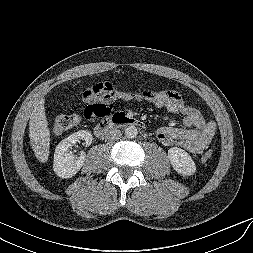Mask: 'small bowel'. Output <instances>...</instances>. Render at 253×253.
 I'll return each instance as SVG.
<instances>
[{
	"label": "small bowel",
	"mask_w": 253,
	"mask_h": 253,
	"mask_svg": "<svg viewBox=\"0 0 253 253\" xmlns=\"http://www.w3.org/2000/svg\"><path fill=\"white\" fill-rule=\"evenodd\" d=\"M111 94L114 99L131 100L132 92L114 86L110 82L98 83L84 92L86 103H104L110 112L113 109L110 100L103 101L100 94ZM147 100L154 106L167 110L173 114L182 115L183 128L172 126L160 127L156 136L164 145H177L192 154L202 153L210 144L215 134V124L206 121L195 108L186 103L183 97L174 90H162L147 94Z\"/></svg>",
	"instance_id": "1"
}]
</instances>
